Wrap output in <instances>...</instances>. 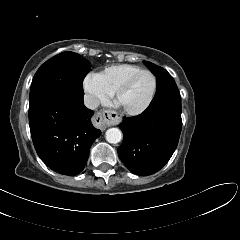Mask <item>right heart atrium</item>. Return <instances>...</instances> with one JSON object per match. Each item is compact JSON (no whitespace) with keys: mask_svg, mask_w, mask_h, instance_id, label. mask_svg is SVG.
<instances>
[{"mask_svg":"<svg viewBox=\"0 0 240 240\" xmlns=\"http://www.w3.org/2000/svg\"><path fill=\"white\" fill-rule=\"evenodd\" d=\"M83 87L93 104L104 103L109 100L111 93L102 85L97 75L89 74L85 77Z\"/></svg>","mask_w":240,"mask_h":240,"instance_id":"d8ad5b80","label":"right heart atrium"}]
</instances>
